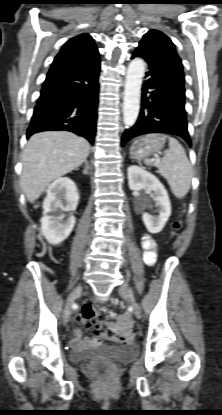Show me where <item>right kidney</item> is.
Here are the masks:
<instances>
[{
    "mask_svg": "<svg viewBox=\"0 0 222 415\" xmlns=\"http://www.w3.org/2000/svg\"><path fill=\"white\" fill-rule=\"evenodd\" d=\"M78 202L79 193L70 178H58L49 185L43 203L41 232L50 244L58 245L70 235L75 225V218L71 213L77 208ZM65 212L70 214L66 220Z\"/></svg>",
    "mask_w": 222,
    "mask_h": 415,
    "instance_id": "obj_1",
    "label": "right kidney"
}]
</instances>
